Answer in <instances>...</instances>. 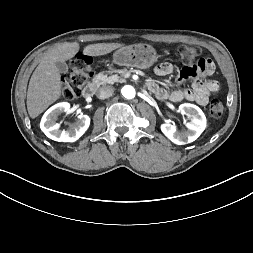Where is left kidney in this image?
Returning a JSON list of instances; mask_svg holds the SVG:
<instances>
[{
	"label": "left kidney",
	"instance_id": "left-kidney-1",
	"mask_svg": "<svg viewBox=\"0 0 253 253\" xmlns=\"http://www.w3.org/2000/svg\"><path fill=\"white\" fill-rule=\"evenodd\" d=\"M179 110L191 120L186 124L187 130L179 132L176 126L170 123H164L161 125V131L173 143L184 145L195 141L205 130L207 122L203 111L194 104H181Z\"/></svg>",
	"mask_w": 253,
	"mask_h": 253
}]
</instances>
